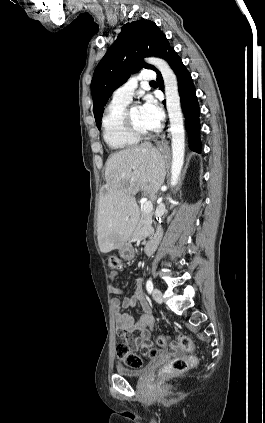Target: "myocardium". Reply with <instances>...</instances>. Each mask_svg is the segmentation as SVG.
Instances as JSON below:
<instances>
[{
  "mask_svg": "<svg viewBox=\"0 0 265 423\" xmlns=\"http://www.w3.org/2000/svg\"><path fill=\"white\" fill-rule=\"evenodd\" d=\"M134 107H138V105H131L129 107H126L123 115H122V121H123V125L126 128V130L133 135L134 137L140 139V138H146L148 136H150L153 133V130L150 131H142L139 130L135 124L133 123L131 116H130V112L132 110V108Z\"/></svg>",
  "mask_w": 265,
  "mask_h": 423,
  "instance_id": "f54148a6",
  "label": "myocardium"
}]
</instances>
